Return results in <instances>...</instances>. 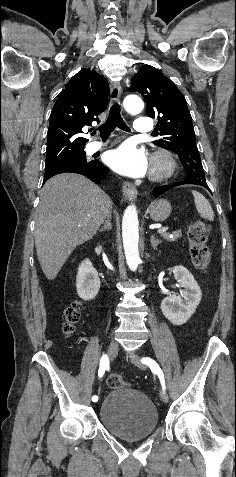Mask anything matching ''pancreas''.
Listing matches in <instances>:
<instances>
[{
    "label": "pancreas",
    "mask_w": 236,
    "mask_h": 477,
    "mask_svg": "<svg viewBox=\"0 0 236 477\" xmlns=\"http://www.w3.org/2000/svg\"><path fill=\"white\" fill-rule=\"evenodd\" d=\"M162 237L169 242H174L177 239L181 238L182 234H181V231H176L172 235H170L168 233H164V234H162Z\"/></svg>",
    "instance_id": "pancreas-1"
}]
</instances>
